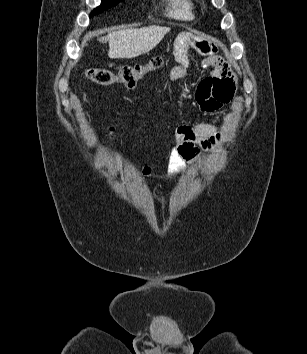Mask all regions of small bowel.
<instances>
[{
  "mask_svg": "<svg viewBox=\"0 0 307 354\" xmlns=\"http://www.w3.org/2000/svg\"><path fill=\"white\" fill-rule=\"evenodd\" d=\"M196 50L204 56L202 61L205 67L211 68L210 76L203 79L197 87L195 99L201 110L207 113L214 112L229 103L235 89V79L227 62L216 52L214 45L203 39L186 37L177 41L174 54L177 65L169 74L170 82L182 81L187 76L191 64L189 51ZM233 113L224 116L220 124L195 123L180 124L174 131V147L169 158L168 171L171 176L182 173L184 162L198 159L201 151H212L221 142V128L227 126L233 119ZM151 168H143V174L149 176Z\"/></svg>",
  "mask_w": 307,
  "mask_h": 354,
  "instance_id": "1",
  "label": "small bowel"
}]
</instances>
